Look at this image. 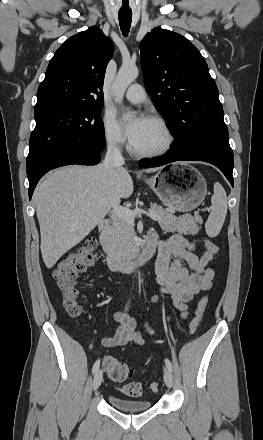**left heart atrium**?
<instances>
[{
    "label": "left heart atrium",
    "instance_id": "left-heart-atrium-1",
    "mask_svg": "<svg viewBox=\"0 0 263 440\" xmlns=\"http://www.w3.org/2000/svg\"><path fill=\"white\" fill-rule=\"evenodd\" d=\"M147 121L144 117H139L126 127V134L132 144L136 142V140L139 137V134L141 132L142 127L144 126L145 122Z\"/></svg>",
    "mask_w": 263,
    "mask_h": 440
}]
</instances>
